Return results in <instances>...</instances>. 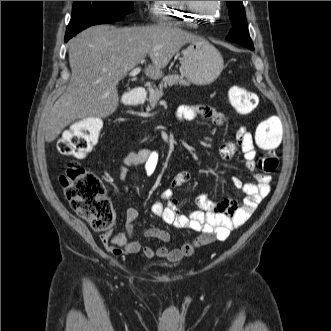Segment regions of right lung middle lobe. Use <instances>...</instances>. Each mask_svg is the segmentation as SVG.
Returning <instances> with one entry per match:
<instances>
[{"label": "right lung middle lobe", "instance_id": "obj_1", "mask_svg": "<svg viewBox=\"0 0 331 331\" xmlns=\"http://www.w3.org/2000/svg\"><path fill=\"white\" fill-rule=\"evenodd\" d=\"M132 10L133 1H75L65 37L92 25L116 22Z\"/></svg>", "mask_w": 331, "mask_h": 331}]
</instances>
